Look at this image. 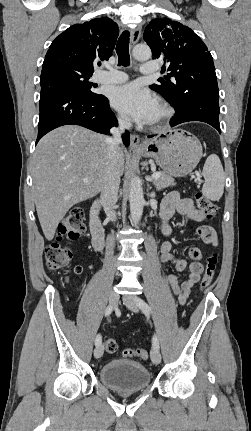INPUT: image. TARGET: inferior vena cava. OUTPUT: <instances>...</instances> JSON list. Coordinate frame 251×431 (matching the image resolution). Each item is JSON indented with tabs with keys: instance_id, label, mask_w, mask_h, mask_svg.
I'll list each match as a JSON object with an SVG mask.
<instances>
[{
	"instance_id": "obj_1",
	"label": "inferior vena cava",
	"mask_w": 251,
	"mask_h": 431,
	"mask_svg": "<svg viewBox=\"0 0 251 431\" xmlns=\"http://www.w3.org/2000/svg\"><path fill=\"white\" fill-rule=\"evenodd\" d=\"M131 127V121L128 117L119 118V127H113L110 132L111 137L107 138L108 153H107V176L106 184L101 192V203L108 219L114 221L116 212L114 210L118 200V190L120 185V173L117 169V151L119 144L122 141L121 135L125 129Z\"/></svg>"
}]
</instances>
